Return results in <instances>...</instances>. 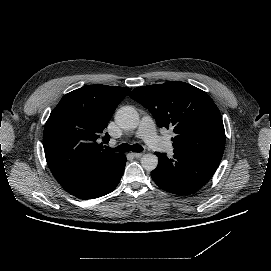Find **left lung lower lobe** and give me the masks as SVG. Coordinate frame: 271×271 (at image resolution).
Segmentation results:
<instances>
[{"mask_svg": "<svg viewBox=\"0 0 271 271\" xmlns=\"http://www.w3.org/2000/svg\"><path fill=\"white\" fill-rule=\"evenodd\" d=\"M159 163L151 172L154 182L163 190L176 195H189L202 188L218 168L223 152L193 147L174 148L168 158L156 153Z\"/></svg>", "mask_w": 271, "mask_h": 271, "instance_id": "obj_1", "label": "left lung lower lobe"}]
</instances>
